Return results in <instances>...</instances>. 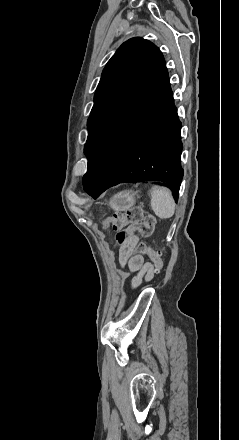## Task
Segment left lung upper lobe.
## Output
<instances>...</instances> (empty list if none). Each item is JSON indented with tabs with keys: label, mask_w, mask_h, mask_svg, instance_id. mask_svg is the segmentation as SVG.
<instances>
[{
	"label": "left lung upper lobe",
	"mask_w": 239,
	"mask_h": 440,
	"mask_svg": "<svg viewBox=\"0 0 239 440\" xmlns=\"http://www.w3.org/2000/svg\"><path fill=\"white\" fill-rule=\"evenodd\" d=\"M153 43L135 37L124 42L108 61L94 95L84 152L90 160L107 132L137 103L165 68Z\"/></svg>",
	"instance_id": "1"
}]
</instances>
